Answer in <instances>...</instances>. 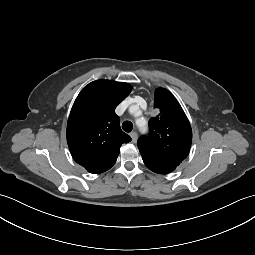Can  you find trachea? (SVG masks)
<instances>
[{
  "label": "trachea",
  "instance_id": "3493384b",
  "mask_svg": "<svg viewBox=\"0 0 255 255\" xmlns=\"http://www.w3.org/2000/svg\"><path fill=\"white\" fill-rule=\"evenodd\" d=\"M122 129H123L125 132H127V133L131 132L132 129H133V124H132V122H130V121H125V122H123V124H122Z\"/></svg>",
  "mask_w": 255,
  "mask_h": 255
}]
</instances>
